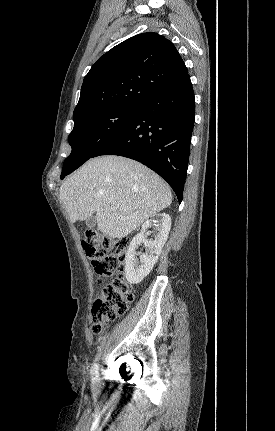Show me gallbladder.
Returning a JSON list of instances; mask_svg holds the SVG:
<instances>
[{"label":"gallbladder","mask_w":275,"mask_h":431,"mask_svg":"<svg viewBox=\"0 0 275 431\" xmlns=\"http://www.w3.org/2000/svg\"><path fill=\"white\" fill-rule=\"evenodd\" d=\"M85 224H86V226L89 229L94 228L95 225H96V218H95V216H90L89 218H87L86 221H85Z\"/></svg>","instance_id":"obj_1"}]
</instances>
